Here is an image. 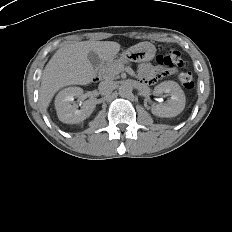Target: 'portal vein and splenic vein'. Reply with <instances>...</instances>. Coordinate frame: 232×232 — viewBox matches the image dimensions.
<instances>
[{
	"instance_id": "18ae733b",
	"label": "portal vein and splenic vein",
	"mask_w": 232,
	"mask_h": 232,
	"mask_svg": "<svg viewBox=\"0 0 232 232\" xmlns=\"http://www.w3.org/2000/svg\"><path fill=\"white\" fill-rule=\"evenodd\" d=\"M129 73H130L131 75H133V76H134V72H133V70H131Z\"/></svg>"
}]
</instances>
